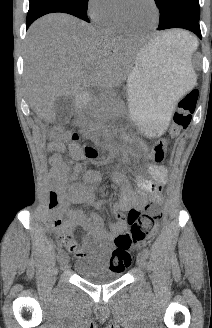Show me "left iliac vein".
Listing matches in <instances>:
<instances>
[{"mask_svg": "<svg viewBox=\"0 0 212 328\" xmlns=\"http://www.w3.org/2000/svg\"><path fill=\"white\" fill-rule=\"evenodd\" d=\"M136 263L138 268L143 269L145 266V257L143 254H138L137 258H136Z\"/></svg>", "mask_w": 212, "mask_h": 328, "instance_id": "1", "label": "left iliac vein"}]
</instances>
